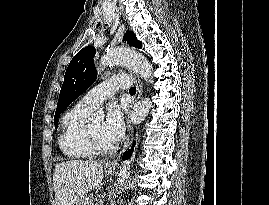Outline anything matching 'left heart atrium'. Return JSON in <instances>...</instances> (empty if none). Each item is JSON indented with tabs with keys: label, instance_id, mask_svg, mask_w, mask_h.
<instances>
[{
	"label": "left heart atrium",
	"instance_id": "left-heart-atrium-1",
	"mask_svg": "<svg viewBox=\"0 0 269 205\" xmlns=\"http://www.w3.org/2000/svg\"><path fill=\"white\" fill-rule=\"evenodd\" d=\"M124 132L123 107L115 102L107 107L102 135L111 144L117 143Z\"/></svg>",
	"mask_w": 269,
	"mask_h": 205
}]
</instances>
